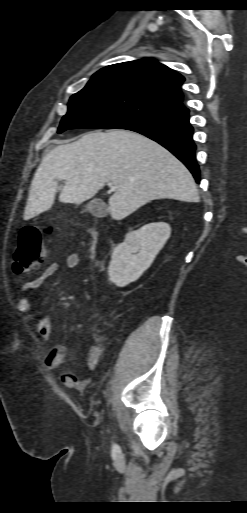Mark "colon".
<instances>
[{
	"label": "colon",
	"instance_id": "5ec220e1",
	"mask_svg": "<svg viewBox=\"0 0 247 513\" xmlns=\"http://www.w3.org/2000/svg\"><path fill=\"white\" fill-rule=\"evenodd\" d=\"M45 257L42 232L35 226L23 227L17 237L12 267L16 274L29 272L37 268Z\"/></svg>",
	"mask_w": 247,
	"mask_h": 513
}]
</instances>
